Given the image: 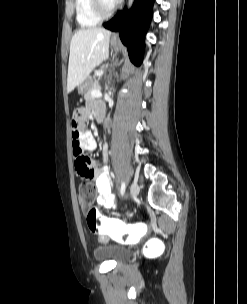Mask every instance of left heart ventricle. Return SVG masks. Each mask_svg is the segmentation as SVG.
Segmentation results:
<instances>
[{"label":"left heart ventricle","instance_id":"left-heart-ventricle-1","mask_svg":"<svg viewBox=\"0 0 247 304\" xmlns=\"http://www.w3.org/2000/svg\"><path fill=\"white\" fill-rule=\"evenodd\" d=\"M103 6L105 9L109 10L113 7L115 2L113 0H102Z\"/></svg>","mask_w":247,"mask_h":304}]
</instances>
